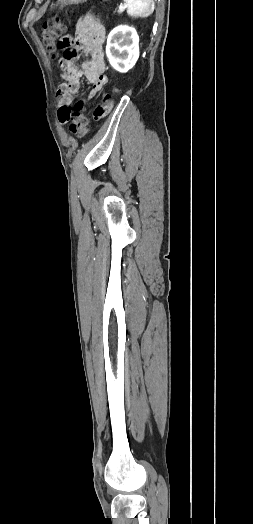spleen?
I'll use <instances>...</instances> for the list:
<instances>
[{
    "label": "spleen",
    "mask_w": 253,
    "mask_h": 524,
    "mask_svg": "<svg viewBox=\"0 0 253 524\" xmlns=\"http://www.w3.org/2000/svg\"><path fill=\"white\" fill-rule=\"evenodd\" d=\"M127 13L132 17H149L154 11L153 0H124Z\"/></svg>",
    "instance_id": "obj_1"
}]
</instances>
